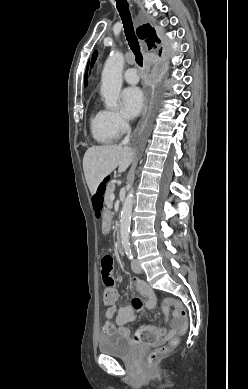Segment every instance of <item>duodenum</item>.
I'll return each mask as SVG.
<instances>
[{"mask_svg":"<svg viewBox=\"0 0 248 389\" xmlns=\"http://www.w3.org/2000/svg\"><path fill=\"white\" fill-rule=\"evenodd\" d=\"M117 250L119 254H123L124 252L120 237L117 238Z\"/></svg>","mask_w":248,"mask_h":389,"instance_id":"duodenum-1","label":"duodenum"}]
</instances>
